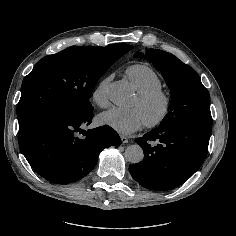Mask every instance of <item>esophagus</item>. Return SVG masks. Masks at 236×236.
I'll list each match as a JSON object with an SVG mask.
<instances>
[{
    "mask_svg": "<svg viewBox=\"0 0 236 236\" xmlns=\"http://www.w3.org/2000/svg\"><path fill=\"white\" fill-rule=\"evenodd\" d=\"M122 143H128V138L125 137L124 135H120Z\"/></svg>",
    "mask_w": 236,
    "mask_h": 236,
    "instance_id": "34e87169",
    "label": "esophagus"
}]
</instances>
